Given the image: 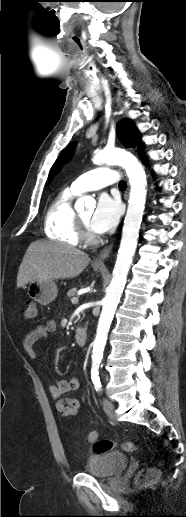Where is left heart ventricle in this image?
Listing matches in <instances>:
<instances>
[{"mask_svg": "<svg viewBox=\"0 0 186 517\" xmlns=\"http://www.w3.org/2000/svg\"><path fill=\"white\" fill-rule=\"evenodd\" d=\"M81 218L84 220V222L90 227V220L92 216V211H87L82 214H80ZM91 228V227H90Z\"/></svg>", "mask_w": 186, "mask_h": 517, "instance_id": "1", "label": "left heart ventricle"}]
</instances>
